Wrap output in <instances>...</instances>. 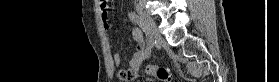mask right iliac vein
<instances>
[{
	"label": "right iliac vein",
	"mask_w": 279,
	"mask_h": 82,
	"mask_svg": "<svg viewBox=\"0 0 279 82\" xmlns=\"http://www.w3.org/2000/svg\"><path fill=\"white\" fill-rule=\"evenodd\" d=\"M136 11L140 14L144 25H145V30L148 35V41L151 46L154 45V41L158 39V31L156 29L155 23L153 19L148 16L144 11H142L140 8L136 7Z\"/></svg>",
	"instance_id": "right-iliac-vein-1"
}]
</instances>
